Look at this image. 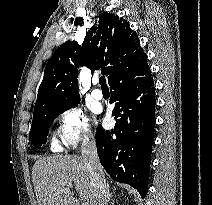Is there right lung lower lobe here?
Here are the masks:
<instances>
[{
  "mask_svg": "<svg viewBox=\"0 0 212 205\" xmlns=\"http://www.w3.org/2000/svg\"><path fill=\"white\" fill-rule=\"evenodd\" d=\"M114 130L97 127L96 145L102 166L118 182L131 185L144 198L148 190L155 127V88L144 53L108 81Z\"/></svg>",
  "mask_w": 212,
  "mask_h": 205,
  "instance_id": "98d812e1",
  "label": "right lung lower lobe"
}]
</instances>
